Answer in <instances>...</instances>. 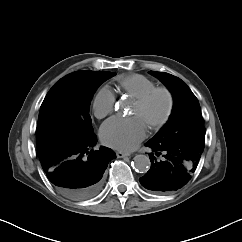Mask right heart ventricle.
Returning a JSON list of instances; mask_svg holds the SVG:
<instances>
[{
    "instance_id": "obj_1",
    "label": "right heart ventricle",
    "mask_w": 242,
    "mask_h": 242,
    "mask_svg": "<svg viewBox=\"0 0 242 242\" xmlns=\"http://www.w3.org/2000/svg\"><path fill=\"white\" fill-rule=\"evenodd\" d=\"M117 85L119 89L136 99L156 87V83L150 78L142 74H125L117 78Z\"/></svg>"
}]
</instances>
